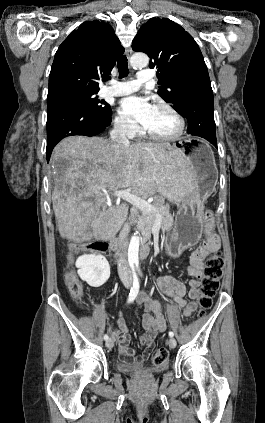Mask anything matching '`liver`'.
Returning a JSON list of instances; mask_svg holds the SVG:
<instances>
[{
	"mask_svg": "<svg viewBox=\"0 0 265 423\" xmlns=\"http://www.w3.org/2000/svg\"><path fill=\"white\" fill-rule=\"evenodd\" d=\"M51 163L57 227L62 238L74 242L117 234L129 207L108 206L114 192L127 188L138 197L158 193L177 203L187 190L181 156L168 143L124 146L101 137H67L54 148Z\"/></svg>",
	"mask_w": 265,
	"mask_h": 423,
	"instance_id": "liver-1",
	"label": "liver"
}]
</instances>
